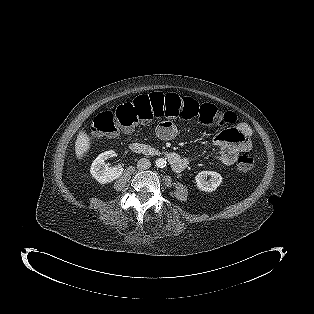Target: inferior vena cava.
Here are the masks:
<instances>
[{
    "instance_id": "obj_1",
    "label": "inferior vena cava",
    "mask_w": 314,
    "mask_h": 314,
    "mask_svg": "<svg viewBox=\"0 0 314 314\" xmlns=\"http://www.w3.org/2000/svg\"><path fill=\"white\" fill-rule=\"evenodd\" d=\"M150 167H151V162L147 158H141L137 162V169L138 170H146V169H149Z\"/></svg>"
}]
</instances>
